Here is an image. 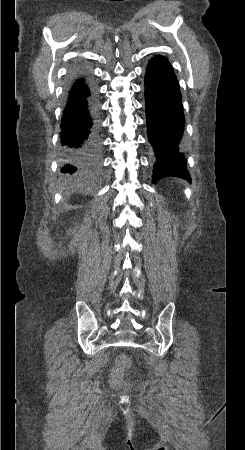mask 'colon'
<instances>
[{
    "label": "colon",
    "instance_id": "5ec220e1",
    "mask_svg": "<svg viewBox=\"0 0 245 450\" xmlns=\"http://www.w3.org/2000/svg\"><path fill=\"white\" fill-rule=\"evenodd\" d=\"M129 365V358L121 354L116 359V367L111 377L110 383L114 387H118L122 383V378L124 377L125 369Z\"/></svg>",
    "mask_w": 245,
    "mask_h": 450
}]
</instances>
